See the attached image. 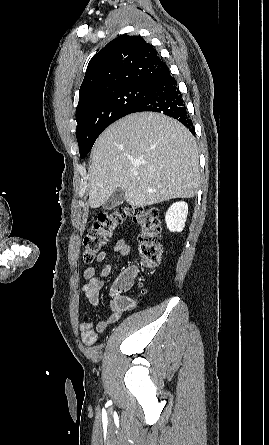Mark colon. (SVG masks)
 I'll return each instance as SVG.
<instances>
[{
    "label": "colon",
    "mask_w": 269,
    "mask_h": 445,
    "mask_svg": "<svg viewBox=\"0 0 269 445\" xmlns=\"http://www.w3.org/2000/svg\"><path fill=\"white\" fill-rule=\"evenodd\" d=\"M132 217L138 226L137 241L140 262L146 267H155L160 260V223L154 207H118L98 215L83 240L82 257L92 263L117 232L120 225ZM133 284L131 276H123L113 284V291L121 294Z\"/></svg>",
    "instance_id": "1"
}]
</instances>
